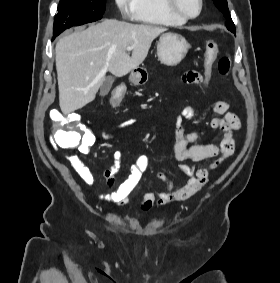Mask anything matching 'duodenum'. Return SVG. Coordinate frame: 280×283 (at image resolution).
Instances as JSON below:
<instances>
[{"instance_id":"obj_1","label":"duodenum","mask_w":280,"mask_h":283,"mask_svg":"<svg viewBox=\"0 0 280 283\" xmlns=\"http://www.w3.org/2000/svg\"><path fill=\"white\" fill-rule=\"evenodd\" d=\"M134 80L137 83H143L145 81V78L143 76H141L140 74H137V75L134 76Z\"/></svg>"}]
</instances>
